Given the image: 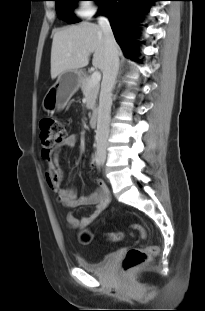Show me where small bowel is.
Returning a JSON list of instances; mask_svg holds the SVG:
<instances>
[{"label": "small bowel", "instance_id": "obj_1", "mask_svg": "<svg viewBox=\"0 0 205 311\" xmlns=\"http://www.w3.org/2000/svg\"><path fill=\"white\" fill-rule=\"evenodd\" d=\"M78 141L76 134H69L64 141L57 145L56 149L47 159L48 168L45 173L49 187L56 193L59 201L67 208H76L84 205H94V211L88 216L77 217L73 213L67 216V223L71 228H84L94 222L106 209L109 203V192L103 181H97L98 188L88 196L78 197L73 188L62 187V170L59 155L62 151L73 148ZM91 163L95 164V156L91 157Z\"/></svg>", "mask_w": 205, "mask_h": 311}]
</instances>
